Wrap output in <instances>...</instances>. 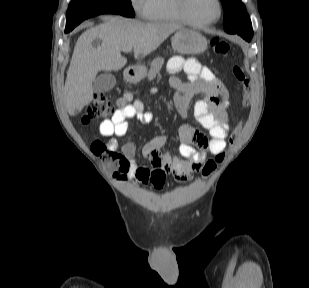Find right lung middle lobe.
<instances>
[{
    "mask_svg": "<svg viewBox=\"0 0 309 288\" xmlns=\"http://www.w3.org/2000/svg\"><path fill=\"white\" fill-rule=\"evenodd\" d=\"M105 13L135 16L131 0H72L67 11L65 30L71 31L83 20Z\"/></svg>",
    "mask_w": 309,
    "mask_h": 288,
    "instance_id": "obj_1",
    "label": "right lung middle lobe"
}]
</instances>
